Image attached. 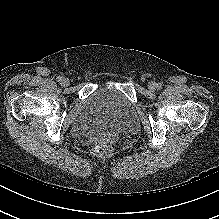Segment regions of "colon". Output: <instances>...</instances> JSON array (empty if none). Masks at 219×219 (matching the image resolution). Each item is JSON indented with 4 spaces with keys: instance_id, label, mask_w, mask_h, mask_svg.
Wrapping results in <instances>:
<instances>
[{
    "instance_id": "colon-1",
    "label": "colon",
    "mask_w": 219,
    "mask_h": 219,
    "mask_svg": "<svg viewBox=\"0 0 219 219\" xmlns=\"http://www.w3.org/2000/svg\"><path fill=\"white\" fill-rule=\"evenodd\" d=\"M92 153L96 156H107L111 153V147L108 145H95L92 148Z\"/></svg>"
}]
</instances>
